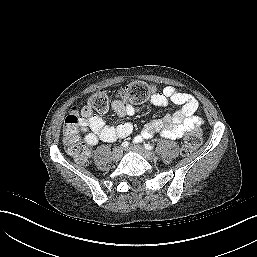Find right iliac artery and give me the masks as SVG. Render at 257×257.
Returning a JSON list of instances; mask_svg holds the SVG:
<instances>
[{
	"label": "right iliac artery",
	"mask_w": 257,
	"mask_h": 257,
	"mask_svg": "<svg viewBox=\"0 0 257 257\" xmlns=\"http://www.w3.org/2000/svg\"><path fill=\"white\" fill-rule=\"evenodd\" d=\"M128 145H129V143H128L127 141H125V142H123V143L121 144V147H122V148H126V147H128Z\"/></svg>",
	"instance_id": "obj_1"
}]
</instances>
